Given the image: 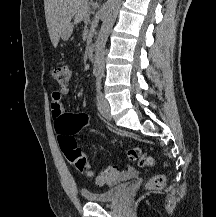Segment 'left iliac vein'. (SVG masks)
Instances as JSON below:
<instances>
[{
	"label": "left iliac vein",
	"instance_id": "1",
	"mask_svg": "<svg viewBox=\"0 0 216 217\" xmlns=\"http://www.w3.org/2000/svg\"><path fill=\"white\" fill-rule=\"evenodd\" d=\"M97 107L104 118L108 120L111 119L109 102L101 92H99L97 96Z\"/></svg>",
	"mask_w": 216,
	"mask_h": 217
}]
</instances>
